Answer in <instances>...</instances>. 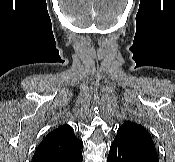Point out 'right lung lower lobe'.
I'll return each instance as SVG.
<instances>
[{"mask_svg": "<svg viewBox=\"0 0 175 162\" xmlns=\"http://www.w3.org/2000/svg\"><path fill=\"white\" fill-rule=\"evenodd\" d=\"M83 156L82 152H78L75 154H58V155H51L36 162H82Z\"/></svg>", "mask_w": 175, "mask_h": 162, "instance_id": "obj_1", "label": "right lung lower lobe"}]
</instances>
